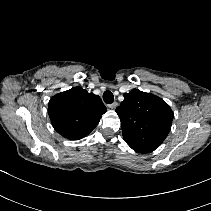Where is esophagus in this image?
<instances>
[{
    "instance_id": "1",
    "label": "esophagus",
    "mask_w": 211,
    "mask_h": 211,
    "mask_svg": "<svg viewBox=\"0 0 211 211\" xmlns=\"http://www.w3.org/2000/svg\"><path fill=\"white\" fill-rule=\"evenodd\" d=\"M117 105H118L117 102H113V103L109 104L108 107H109L110 109H115V108L117 107Z\"/></svg>"
}]
</instances>
